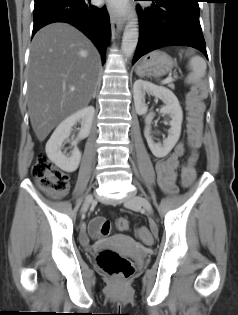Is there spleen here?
Returning <instances> with one entry per match:
<instances>
[{
	"label": "spleen",
	"instance_id": "spleen-1",
	"mask_svg": "<svg viewBox=\"0 0 238 315\" xmlns=\"http://www.w3.org/2000/svg\"><path fill=\"white\" fill-rule=\"evenodd\" d=\"M189 68L191 72L188 74L185 81L187 84H192L200 81V79L205 75L207 66L202 57L194 56L189 61Z\"/></svg>",
	"mask_w": 238,
	"mask_h": 315
}]
</instances>
